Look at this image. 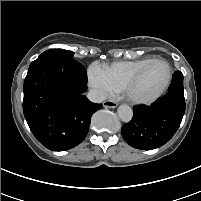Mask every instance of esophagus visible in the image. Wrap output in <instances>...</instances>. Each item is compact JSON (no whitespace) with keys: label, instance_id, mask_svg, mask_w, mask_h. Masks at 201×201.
<instances>
[{"label":"esophagus","instance_id":"34e87169","mask_svg":"<svg viewBox=\"0 0 201 201\" xmlns=\"http://www.w3.org/2000/svg\"><path fill=\"white\" fill-rule=\"evenodd\" d=\"M103 106L105 108H115L117 106V103L111 100H106L103 102Z\"/></svg>","mask_w":201,"mask_h":201}]
</instances>
